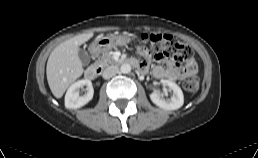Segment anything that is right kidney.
Segmentation results:
<instances>
[{
    "label": "right kidney",
    "instance_id": "1",
    "mask_svg": "<svg viewBox=\"0 0 258 158\" xmlns=\"http://www.w3.org/2000/svg\"><path fill=\"white\" fill-rule=\"evenodd\" d=\"M86 86L85 94L80 95V89ZM94 89L89 79L78 80L73 83L65 95V107L68 109H77L86 105L92 100Z\"/></svg>",
    "mask_w": 258,
    "mask_h": 158
}]
</instances>
